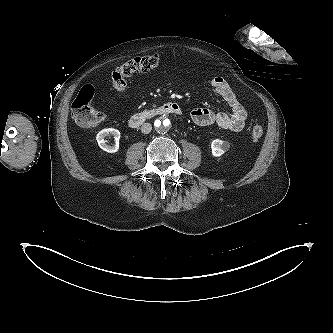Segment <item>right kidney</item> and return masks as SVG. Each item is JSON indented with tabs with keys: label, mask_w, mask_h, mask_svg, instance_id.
<instances>
[{
	"label": "right kidney",
	"mask_w": 333,
	"mask_h": 333,
	"mask_svg": "<svg viewBox=\"0 0 333 333\" xmlns=\"http://www.w3.org/2000/svg\"><path fill=\"white\" fill-rule=\"evenodd\" d=\"M108 135H113L116 144L114 146H110L106 144L105 137ZM119 139H120V132L114 128H107L101 130L96 137L99 147L109 153H115L119 149Z\"/></svg>",
	"instance_id": "ca27d5eb"
}]
</instances>
